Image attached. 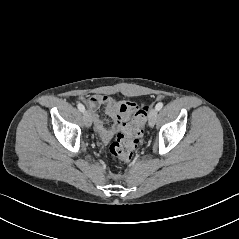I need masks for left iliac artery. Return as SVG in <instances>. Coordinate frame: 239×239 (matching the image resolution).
I'll return each instance as SVG.
<instances>
[{"instance_id":"1","label":"left iliac artery","mask_w":239,"mask_h":239,"mask_svg":"<svg viewBox=\"0 0 239 239\" xmlns=\"http://www.w3.org/2000/svg\"><path fill=\"white\" fill-rule=\"evenodd\" d=\"M162 107H163V103L162 102H159L157 105H156V110L157 111H159V110H161L162 109Z\"/></svg>"}]
</instances>
